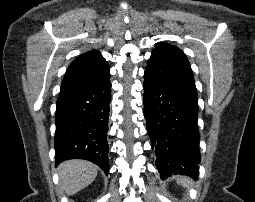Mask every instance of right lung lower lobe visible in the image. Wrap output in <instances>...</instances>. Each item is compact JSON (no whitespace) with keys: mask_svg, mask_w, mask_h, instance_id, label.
I'll return each instance as SVG.
<instances>
[{"mask_svg":"<svg viewBox=\"0 0 255 202\" xmlns=\"http://www.w3.org/2000/svg\"><path fill=\"white\" fill-rule=\"evenodd\" d=\"M111 83L61 91L56 107V165L68 159H85L109 171L107 132Z\"/></svg>","mask_w":255,"mask_h":202,"instance_id":"obj_1","label":"right lung lower lobe"}]
</instances>
